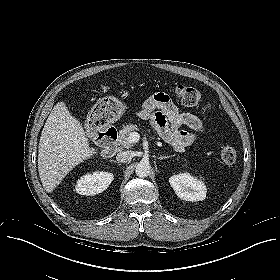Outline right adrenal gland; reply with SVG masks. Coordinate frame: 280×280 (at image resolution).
Segmentation results:
<instances>
[{
  "label": "right adrenal gland",
  "mask_w": 280,
  "mask_h": 280,
  "mask_svg": "<svg viewBox=\"0 0 280 280\" xmlns=\"http://www.w3.org/2000/svg\"><path fill=\"white\" fill-rule=\"evenodd\" d=\"M111 161H113V162H115V163H118V164H119V162H117V161H115V160H111Z\"/></svg>",
  "instance_id": "right-adrenal-gland-1"
}]
</instances>
